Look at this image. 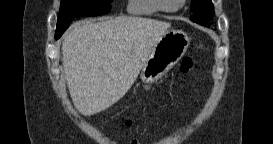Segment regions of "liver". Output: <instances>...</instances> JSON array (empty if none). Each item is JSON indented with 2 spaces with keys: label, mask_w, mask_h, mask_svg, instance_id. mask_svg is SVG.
I'll return each instance as SVG.
<instances>
[{
  "label": "liver",
  "mask_w": 273,
  "mask_h": 144,
  "mask_svg": "<svg viewBox=\"0 0 273 144\" xmlns=\"http://www.w3.org/2000/svg\"><path fill=\"white\" fill-rule=\"evenodd\" d=\"M170 26L132 16L76 23L62 43L65 78L76 109L91 116L118 102Z\"/></svg>",
  "instance_id": "6515ba94"
}]
</instances>
